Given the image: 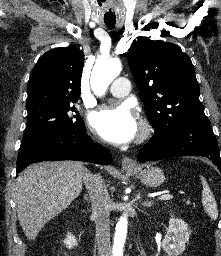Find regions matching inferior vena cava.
<instances>
[{
    "mask_svg": "<svg viewBox=\"0 0 221 256\" xmlns=\"http://www.w3.org/2000/svg\"><path fill=\"white\" fill-rule=\"evenodd\" d=\"M84 183L92 205V216L96 224L98 256H112L110 243L111 200L100 175L86 173Z\"/></svg>",
    "mask_w": 221,
    "mask_h": 256,
    "instance_id": "inferior-vena-cava-1",
    "label": "inferior vena cava"
}]
</instances>
